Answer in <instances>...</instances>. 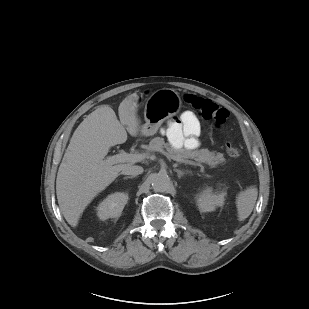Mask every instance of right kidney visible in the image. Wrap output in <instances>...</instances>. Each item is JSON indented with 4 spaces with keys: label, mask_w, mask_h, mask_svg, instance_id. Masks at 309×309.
Segmentation results:
<instances>
[{
    "label": "right kidney",
    "mask_w": 309,
    "mask_h": 309,
    "mask_svg": "<svg viewBox=\"0 0 309 309\" xmlns=\"http://www.w3.org/2000/svg\"><path fill=\"white\" fill-rule=\"evenodd\" d=\"M127 201L128 195L125 193L111 194L98 205L97 216L101 220L119 217Z\"/></svg>",
    "instance_id": "1"
}]
</instances>
